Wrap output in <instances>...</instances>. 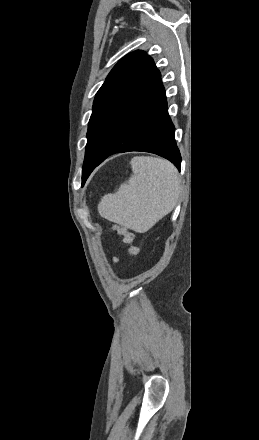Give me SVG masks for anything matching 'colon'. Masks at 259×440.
Here are the masks:
<instances>
[{
  "instance_id": "colon-1",
  "label": "colon",
  "mask_w": 259,
  "mask_h": 440,
  "mask_svg": "<svg viewBox=\"0 0 259 440\" xmlns=\"http://www.w3.org/2000/svg\"><path fill=\"white\" fill-rule=\"evenodd\" d=\"M114 229L117 231L119 235L122 236L124 243L129 246V252L132 255H136L138 253V247L134 244V235L128 229L123 226L115 225Z\"/></svg>"
}]
</instances>
